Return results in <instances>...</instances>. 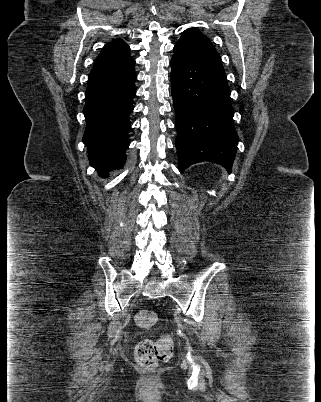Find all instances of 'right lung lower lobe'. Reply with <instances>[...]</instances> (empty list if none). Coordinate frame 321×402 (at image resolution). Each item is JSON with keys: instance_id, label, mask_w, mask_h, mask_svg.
<instances>
[{"instance_id": "98d812e1", "label": "right lung lower lobe", "mask_w": 321, "mask_h": 402, "mask_svg": "<svg viewBox=\"0 0 321 402\" xmlns=\"http://www.w3.org/2000/svg\"><path fill=\"white\" fill-rule=\"evenodd\" d=\"M135 80L134 64L93 68L89 74L83 109L86 118L83 142L91 166L102 177L125 163Z\"/></svg>"}]
</instances>
